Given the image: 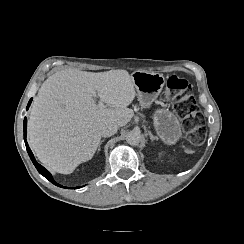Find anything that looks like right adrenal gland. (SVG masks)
I'll use <instances>...</instances> for the list:
<instances>
[{"label":"right adrenal gland","instance_id":"right-adrenal-gland-1","mask_svg":"<svg viewBox=\"0 0 244 244\" xmlns=\"http://www.w3.org/2000/svg\"><path fill=\"white\" fill-rule=\"evenodd\" d=\"M104 142V140H101L100 141V145H99V147H98V150H100V148H101V144Z\"/></svg>","mask_w":244,"mask_h":244}]
</instances>
